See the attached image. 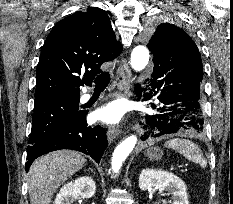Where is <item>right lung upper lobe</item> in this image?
Instances as JSON below:
<instances>
[{"label": "right lung upper lobe", "instance_id": "cb5924a9", "mask_svg": "<svg viewBox=\"0 0 233 204\" xmlns=\"http://www.w3.org/2000/svg\"><path fill=\"white\" fill-rule=\"evenodd\" d=\"M122 51L103 9L89 7L56 24L42 48L37 68L35 102L56 96H80L100 66ZM83 76L81 80L80 76Z\"/></svg>", "mask_w": 233, "mask_h": 204}]
</instances>
